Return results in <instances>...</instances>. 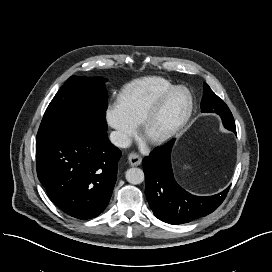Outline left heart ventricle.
Segmentation results:
<instances>
[{
	"label": "left heart ventricle",
	"instance_id": "1",
	"mask_svg": "<svg viewBox=\"0 0 272 272\" xmlns=\"http://www.w3.org/2000/svg\"><path fill=\"white\" fill-rule=\"evenodd\" d=\"M180 105L178 102L171 103L165 111L161 114L157 128H163L172 124L179 115Z\"/></svg>",
	"mask_w": 272,
	"mask_h": 272
}]
</instances>
